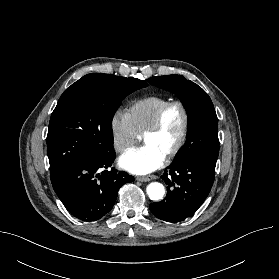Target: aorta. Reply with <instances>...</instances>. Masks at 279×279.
Returning <instances> with one entry per match:
<instances>
[{"label": "aorta", "instance_id": "1", "mask_svg": "<svg viewBox=\"0 0 279 279\" xmlns=\"http://www.w3.org/2000/svg\"><path fill=\"white\" fill-rule=\"evenodd\" d=\"M147 194L151 200H160L165 194V188L161 183L152 182L147 186Z\"/></svg>", "mask_w": 279, "mask_h": 279}]
</instances>
